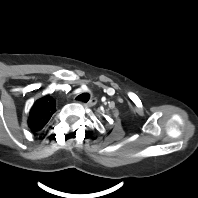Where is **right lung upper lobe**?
Here are the masks:
<instances>
[{
  "label": "right lung upper lobe",
  "mask_w": 198,
  "mask_h": 198,
  "mask_svg": "<svg viewBox=\"0 0 198 198\" xmlns=\"http://www.w3.org/2000/svg\"><path fill=\"white\" fill-rule=\"evenodd\" d=\"M56 111V104L50 95L37 100L30 110L28 126L33 132L40 131Z\"/></svg>",
  "instance_id": "1"
}]
</instances>
